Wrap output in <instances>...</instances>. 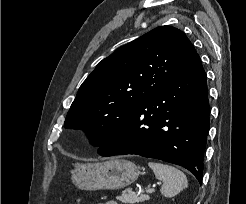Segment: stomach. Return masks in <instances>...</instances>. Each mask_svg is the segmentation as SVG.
Returning a JSON list of instances; mask_svg holds the SVG:
<instances>
[{
    "label": "stomach",
    "instance_id": "1",
    "mask_svg": "<svg viewBox=\"0 0 246 204\" xmlns=\"http://www.w3.org/2000/svg\"><path fill=\"white\" fill-rule=\"evenodd\" d=\"M72 182L81 190H116L134 183L140 174L139 168L125 159L106 162L81 163L71 171Z\"/></svg>",
    "mask_w": 246,
    "mask_h": 204
}]
</instances>
